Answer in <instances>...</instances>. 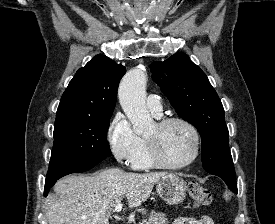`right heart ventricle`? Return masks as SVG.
<instances>
[{
	"mask_svg": "<svg viewBox=\"0 0 275 224\" xmlns=\"http://www.w3.org/2000/svg\"><path fill=\"white\" fill-rule=\"evenodd\" d=\"M130 163L135 169L147 170L155 167L149 159L144 138H141L140 148L135 156L132 158Z\"/></svg>",
	"mask_w": 275,
	"mask_h": 224,
	"instance_id": "1",
	"label": "right heart ventricle"
}]
</instances>
